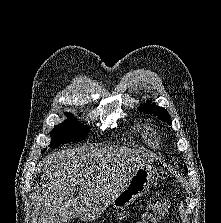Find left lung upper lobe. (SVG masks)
<instances>
[{
    "mask_svg": "<svg viewBox=\"0 0 221 223\" xmlns=\"http://www.w3.org/2000/svg\"><path fill=\"white\" fill-rule=\"evenodd\" d=\"M140 111H143L145 113L153 114L155 116H158L159 119H161L164 122H167L169 125L172 124V120L170 119V115L168 112L155 104H143L138 108ZM184 169L186 172H188L186 166L184 165Z\"/></svg>",
    "mask_w": 221,
    "mask_h": 223,
    "instance_id": "obj_1",
    "label": "left lung upper lobe"
}]
</instances>
